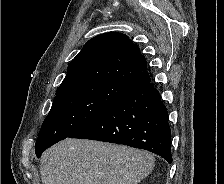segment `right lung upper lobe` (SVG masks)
Instances as JSON below:
<instances>
[{
  "label": "right lung upper lobe",
  "mask_w": 224,
  "mask_h": 184,
  "mask_svg": "<svg viewBox=\"0 0 224 184\" xmlns=\"http://www.w3.org/2000/svg\"><path fill=\"white\" fill-rule=\"evenodd\" d=\"M89 81H108L133 88L150 82L147 62L128 36L110 32L90 39L68 65L57 93Z\"/></svg>",
  "instance_id": "cb5924a9"
}]
</instances>
